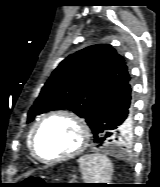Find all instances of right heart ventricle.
I'll use <instances>...</instances> for the list:
<instances>
[{"label":"right heart ventricle","mask_w":160,"mask_h":187,"mask_svg":"<svg viewBox=\"0 0 160 187\" xmlns=\"http://www.w3.org/2000/svg\"><path fill=\"white\" fill-rule=\"evenodd\" d=\"M31 132H32V130L29 131L28 136H27V147H28L29 151H31V149H30Z\"/></svg>","instance_id":"right-heart-ventricle-1"}]
</instances>
